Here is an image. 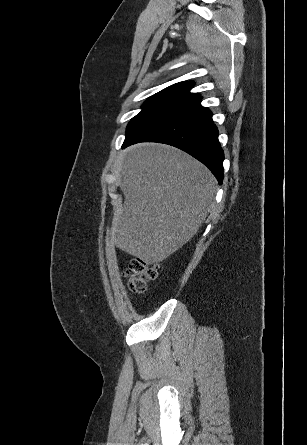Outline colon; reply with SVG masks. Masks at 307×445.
<instances>
[{"label":"colon","mask_w":307,"mask_h":445,"mask_svg":"<svg viewBox=\"0 0 307 445\" xmlns=\"http://www.w3.org/2000/svg\"><path fill=\"white\" fill-rule=\"evenodd\" d=\"M157 268V265L149 264L143 259H132L126 269L130 290L135 293H144L148 281L157 277Z\"/></svg>","instance_id":"1"}]
</instances>
